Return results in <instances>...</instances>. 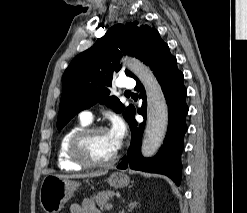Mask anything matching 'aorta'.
I'll return each mask as SVG.
<instances>
[{
  "label": "aorta",
  "instance_id": "obj_1",
  "mask_svg": "<svg viewBox=\"0 0 247 213\" xmlns=\"http://www.w3.org/2000/svg\"><path fill=\"white\" fill-rule=\"evenodd\" d=\"M125 62L146 90L147 124L141 152L144 157H151L161 146L166 135L168 107L161 87L152 71L137 59L126 58Z\"/></svg>",
  "mask_w": 247,
  "mask_h": 213
}]
</instances>
